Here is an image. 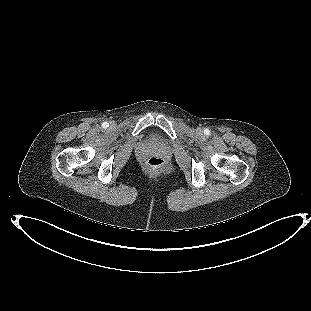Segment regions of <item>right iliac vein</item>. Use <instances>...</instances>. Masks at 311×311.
Wrapping results in <instances>:
<instances>
[{"label": "right iliac vein", "mask_w": 311, "mask_h": 311, "mask_svg": "<svg viewBox=\"0 0 311 311\" xmlns=\"http://www.w3.org/2000/svg\"><path fill=\"white\" fill-rule=\"evenodd\" d=\"M114 125V123L113 122H110V126L112 127Z\"/></svg>", "instance_id": "63e3f726"}]
</instances>
